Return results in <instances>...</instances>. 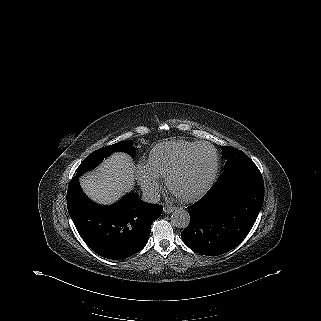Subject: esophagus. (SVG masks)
<instances>
[{
  "label": "esophagus",
  "mask_w": 321,
  "mask_h": 321,
  "mask_svg": "<svg viewBox=\"0 0 321 321\" xmlns=\"http://www.w3.org/2000/svg\"><path fill=\"white\" fill-rule=\"evenodd\" d=\"M176 209V207H174V206H164V212L166 213V214H170V213H172L174 210Z\"/></svg>",
  "instance_id": "34e87169"
}]
</instances>
